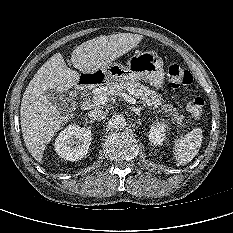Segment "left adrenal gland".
I'll return each instance as SVG.
<instances>
[{"label": "left adrenal gland", "mask_w": 233, "mask_h": 233, "mask_svg": "<svg viewBox=\"0 0 233 233\" xmlns=\"http://www.w3.org/2000/svg\"><path fill=\"white\" fill-rule=\"evenodd\" d=\"M131 111H133L134 113H136L138 116L141 115V110H143L144 108L143 107H130Z\"/></svg>", "instance_id": "a2214340"}]
</instances>
